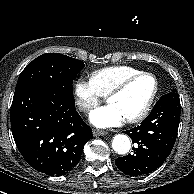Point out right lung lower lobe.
Here are the masks:
<instances>
[{
	"label": "right lung lower lobe",
	"mask_w": 194,
	"mask_h": 194,
	"mask_svg": "<svg viewBox=\"0 0 194 194\" xmlns=\"http://www.w3.org/2000/svg\"><path fill=\"white\" fill-rule=\"evenodd\" d=\"M11 130L25 161L39 172L62 176L79 162L91 128L75 109L74 98L43 88L14 93Z\"/></svg>",
	"instance_id": "1"
}]
</instances>
